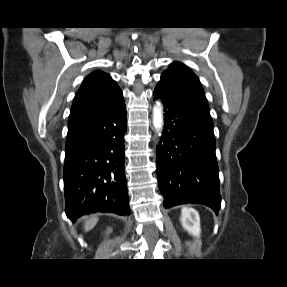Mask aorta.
I'll list each match as a JSON object with an SVG mask.
<instances>
[{"label":"aorta","instance_id":"762f6f07","mask_svg":"<svg viewBox=\"0 0 287 287\" xmlns=\"http://www.w3.org/2000/svg\"><path fill=\"white\" fill-rule=\"evenodd\" d=\"M153 126L158 135L161 134L163 127V107L160 103H156L153 108Z\"/></svg>","mask_w":287,"mask_h":287}]
</instances>
